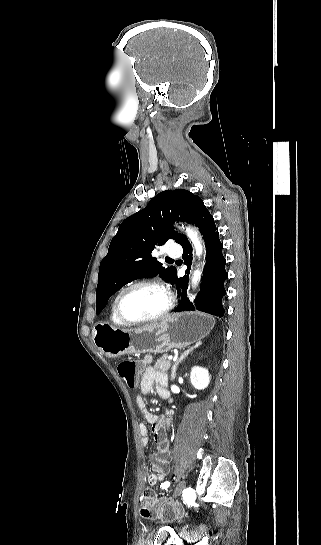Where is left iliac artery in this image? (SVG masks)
Returning <instances> with one entry per match:
<instances>
[{
	"mask_svg": "<svg viewBox=\"0 0 321 545\" xmlns=\"http://www.w3.org/2000/svg\"><path fill=\"white\" fill-rule=\"evenodd\" d=\"M169 485H170V482L166 481V482L161 484V488L162 489H167L169 487Z\"/></svg>",
	"mask_w": 321,
	"mask_h": 545,
	"instance_id": "left-iliac-artery-1",
	"label": "left iliac artery"
}]
</instances>
